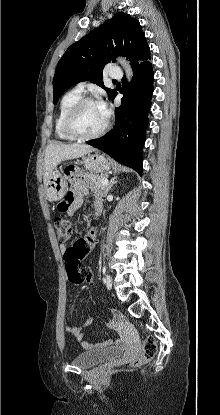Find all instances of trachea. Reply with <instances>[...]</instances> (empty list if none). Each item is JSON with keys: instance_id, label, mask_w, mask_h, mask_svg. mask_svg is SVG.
Masks as SVG:
<instances>
[{"instance_id": "trachea-1", "label": "trachea", "mask_w": 220, "mask_h": 415, "mask_svg": "<svg viewBox=\"0 0 220 415\" xmlns=\"http://www.w3.org/2000/svg\"><path fill=\"white\" fill-rule=\"evenodd\" d=\"M113 82H117V80H113Z\"/></svg>"}]
</instances>
